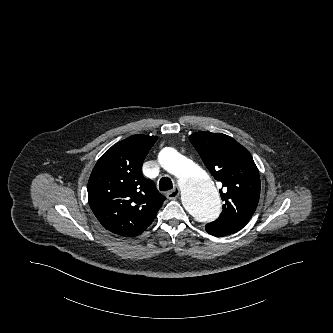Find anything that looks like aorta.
Masks as SVG:
<instances>
[{"label":"aorta","instance_id":"aorta-1","mask_svg":"<svg viewBox=\"0 0 333 333\" xmlns=\"http://www.w3.org/2000/svg\"><path fill=\"white\" fill-rule=\"evenodd\" d=\"M159 162L179 179L182 204L193 218L210 222L218 217L221 200L209 175L173 148H164L159 154Z\"/></svg>","mask_w":333,"mask_h":333}]
</instances>
